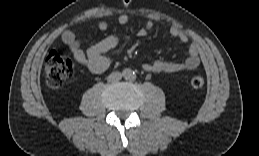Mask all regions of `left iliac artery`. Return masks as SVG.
Returning <instances> with one entry per match:
<instances>
[{"instance_id": "left-iliac-artery-1", "label": "left iliac artery", "mask_w": 259, "mask_h": 156, "mask_svg": "<svg viewBox=\"0 0 259 156\" xmlns=\"http://www.w3.org/2000/svg\"><path fill=\"white\" fill-rule=\"evenodd\" d=\"M136 79V75H134V73H133V75H131V80H135Z\"/></svg>"}]
</instances>
